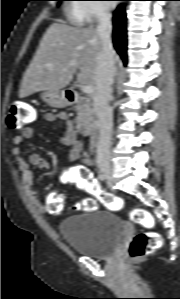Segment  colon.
Returning a JSON list of instances; mask_svg holds the SVG:
<instances>
[{"label": "colon", "mask_w": 180, "mask_h": 299, "mask_svg": "<svg viewBox=\"0 0 180 299\" xmlns=\"http://www.w3.org/2000/svg\"><path fill=\"white\" fill-rule=\"evenodd\" d=\"M37 118L36 108L23 101H14L9 106L7 123L12 129L26 127ZM80 188L92 195L94 198H86L78 204V208L83 211H92L98 207V203L112 209L118 210L123 206V201L114 196L113 194L103 190L99 183L90 175L85 172L81 174L78 179ZM64 209L63 198L52 193L47 197L46 210L50 214H60ZM130 219L140 224L145 228H152L154 219L152 215L143 209H134L130 212ZM162 245L161 237L152 232H141L136 234L127 249V257L129 261L135 262L145 256L152 254L159 249Z\"/></svg>", "instance_id": "colon-1"}]
</instances>
